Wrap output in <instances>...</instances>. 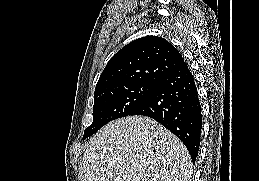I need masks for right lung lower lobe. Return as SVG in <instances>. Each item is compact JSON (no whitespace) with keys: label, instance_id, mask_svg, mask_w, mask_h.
Masks as SVG:
<instances>
[{"label":"right lung lower lobe","instance_id":"right-lung-lower-lobe-1","mask_svg":"<svg viewBox=\"0 0 259 181\" xmlns=\"http://www.w3.org/2000/svg\"><path fill=\"white\" fill-rule=\"evenodd\" d=\"M149 99L131 115L148 116L174 133L195 160L202 128L194 77L186 63L161 77Z\"/></svg>","mask_w":259,"mask_h":181}]
</instances>
